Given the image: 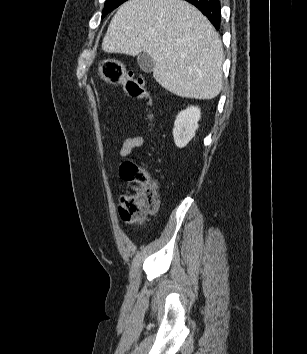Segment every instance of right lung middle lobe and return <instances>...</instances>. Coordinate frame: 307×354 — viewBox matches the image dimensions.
<instances>
[{"mask_svg": "<svg viewBox=\"0 0 307 354\" xmlns=\"http://www.w3.org/2000/svg\"><path fill=\"white\" fill-rule=\"evenodd\" d=\"M127 0H106L105 6L103 9L102 13V18L109 12H111L113 9L117 8L119 5H121L123 2Z\"/></svg>", "mask_w": 307, "mask_h": 354, "instance_id": "dd1d6c3e", "label": "right lung middle lobe"}]
</instances>
